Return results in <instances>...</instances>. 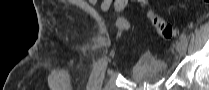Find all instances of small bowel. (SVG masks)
<instances>
[{
	"mask_svg": "<svg viewBox=\"0 0 209 90\" xmlns=\"http://www.w3.org/2000/svg\"><path fill=\"white\" fill-rule=\"evenodd\" d=\"M90 2H91V4L95 3L94 0H91ZM110 5H111V1L110 0L103 1L102 4H101L102 11H107L109 9Z\"/></svg>",
	"mask_w": 209,
	"mask_h": 90,
	"instance_id": "obj_1",
	"label": "small bowel"
}]
</instances>
